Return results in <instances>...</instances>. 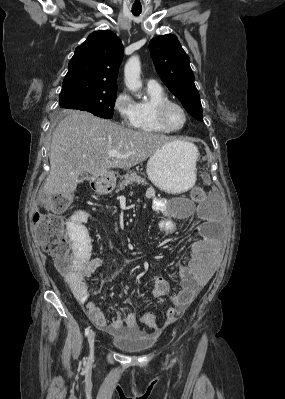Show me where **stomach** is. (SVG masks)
<instances>
[{"label":"stomach","mask_w":285,"mask_h":399,"mask_svg":"<svg viewBox=\"0 0 285 399\" xmlns=\"http://www.w3.org/2000/svg\"><path fill=\"white\" fill-rule=\"evenodd\" d=\"M198 149L185 141H172L158 149L148 160L146 172L151 182L168 193H181L196 181V161ZM110 182L105 178L97 179L96 191L105 194Z\"/></svg>","instance_id":"obj_1"}]
</instances>
